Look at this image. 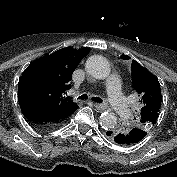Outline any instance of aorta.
Segmentation results:
<instances>
[{"instance_id": "aorta-1", "label": "aorta", "mask_w": 177, "mask_h": 177, "mask_svg": "<svg viewBox=\"0 0 177 177\" xmlns=\"http://www.w3.org/2000/svg\"><path fill=\"white\" fill-rule=\"evenodd\" d=\"M86 72L92 77L103 80L110 75V65L101 55L90 56L85 64ZM117 124V117L113 112L106 111L100 116V125L105 130H112Z\"/></svg>"}]
</instances>
